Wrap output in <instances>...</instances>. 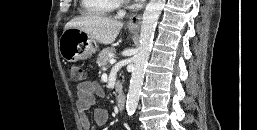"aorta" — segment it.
<instances>
[{
	"label": "aorta",
	"instance_id": "762f6f07",
	"mask_svg": "<svg viewBox=\"0 0 257 130\" xmlns=\"http://www.w3.org/2000/svg\"><path fill=\"white\" fill-rule=\"evenodd\" d=\"M164 4L165 0H150L143 14L140 31V46L139 51L134 58V68L126 101L128 115H133L138 105L145 70L152 47L155 27Z\"/></svg>",
	"mask_w": 257,
	"mask_h": 130
}]
</instances>
